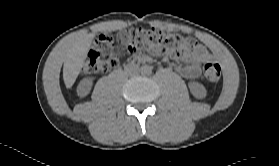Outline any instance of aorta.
Segmentation results:
<instances>
[{
  "mask_svg": "<svg viewBox=\"0 0 279 166\" xmlns=\"http://www.w3.org/2000/svg\"><path fill=\"white\" fill-rule=\"evenodd\" d=\"M141 73L144 75H149L151 73V67L149 66H143L141 69Z\"/></svg>",
  "mask_w": 279,
  "mask_h": 166,
  "instance_id": "762f6f07",
  "label": "aorta"
}]
</instances>
